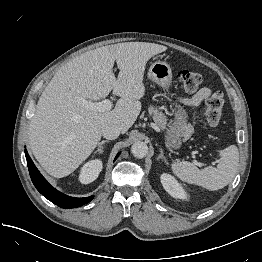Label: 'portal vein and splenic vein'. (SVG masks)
Listing matches in <instances>:
<instances>
[{"label":"portal vein and splenic vein","mask_w":262,"mask_h":262,"mask_svg":"<svg viewBox=\"0 0 262 262\" xmlns=\"http://www.w3.org/2000/svg\"><path fill=\"white\" fill-rule=\"evenodd\" d=\"M81 104L86 108L100 112L109 111L112 109V102L109 99H104L101 102H90L85 99H82Z\"/></svg>","instance_id":"obj_1"}]
</instances>
